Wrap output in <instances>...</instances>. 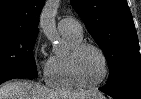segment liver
<instances>
[{
    "instance_id": "1",
    "label": "liver",
    "mask_w": 141,
    "mask_h": 99,
    "mask_svg": "<svg viewBox=\"0 0 141 99\" xmlns=\"http://www.w3.org/2000/svg\"><path fill=\"white\" fill-rule=\"evenodd\" d=\"M0 99H105V97L96 90L62 92L26 80H15L0 86Z\"/></svg>"
}]
</instances>
